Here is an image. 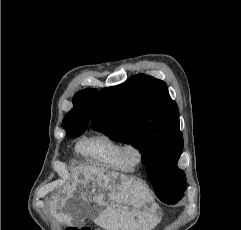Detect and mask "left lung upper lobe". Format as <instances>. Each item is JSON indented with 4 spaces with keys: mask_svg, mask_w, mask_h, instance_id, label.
Segmentation results:
<instances>
[{
    "mask_svg": "<svg viewBox=\"0 0 241 230\" xmlns=\"http://www.w3.org/2000/svg\"><path fill=\"white\" fill-rule=\"evenodd\" d=\"M91 124L112 140L139 149L161 201L174 204L182 197L186 177L177 161L183 150V136L178 107L165 82L139 74L123 84L102 89Z\"/></svg>",
    "mask_w": 241,
    "mask_h": 230,
    "instance_id": "1",
    "label": "left lung upper lobe"
}]
</instances>
